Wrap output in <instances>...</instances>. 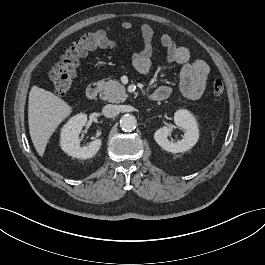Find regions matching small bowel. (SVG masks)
<instances>
[{"label": "small bowel", "mask_w": 265, "mask_h": 265, "mask_svg": "<svg viewBox=\"0 0 265 265\" xmlns=\"http://www.w3.org/2000/svg\"><path fill=\"white\" fill-rule=\"evenodd\" d=\"M121 26L126 31L133 30V24L129 21H124ZM140 35L143 48L133 54L132 60L138 72L147 73L152 66L154 30L150 25L143 24L140 27ZM160 42L166 49L167 62L181 66L180 89L182 94L192 100L200 98L210 73L208 64L200 59L192 60L190 50L184 45L177 44L169 34H162ZM154 93L161 94L165 99L170 94V88L161 85Z\"/></svg>", "instance_id": "1"}]
</instances>
